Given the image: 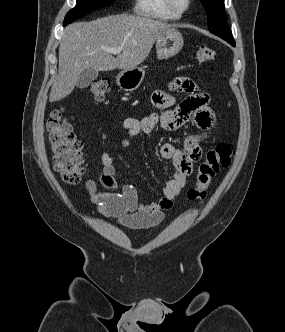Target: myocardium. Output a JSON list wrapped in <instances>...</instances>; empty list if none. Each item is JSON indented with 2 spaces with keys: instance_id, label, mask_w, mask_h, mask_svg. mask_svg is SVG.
Here are the masks:
<instances>
[{
  "instance_id": "f54148a6",
  "label": "myocardium",
  "mask_w": 285,
  "mask_h": 332,
  "mask_svg": "<svg viewBox=\"0 0 285 332\" xmlns=\"http://www.w3.org/2000/svg\"><path fill=\"white\" fill-rule=\"evenodd\" d=\"M167 4L173 12L179 16H182L190 9L192 0H185V4L183 6H180L177 0H167Z\"/></svg>"
}]
</instances>
